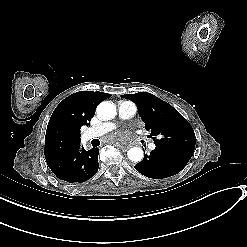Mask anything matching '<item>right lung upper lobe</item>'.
I'll use <instances>...</instances> for the list:
<instances>
[{
    "instance_id": "obj_1",
    "label": "right lung upper lobe",
    "mask_w": 247,
    "mask_h": 247,
    "mask_svg": "<svg viewBox=\"0 0 247 247\" xmlns=\"http://www.w3.org/2000/svg\"><path fill=\"white\" fill-rule=\"evenodd\" d=\"M110 94L94 91L76 92L62 100L49 120L45 136V157L60 146L70 148L80 142V128L90 125L97 105Z\"/></svg>"
}]
</instances>
